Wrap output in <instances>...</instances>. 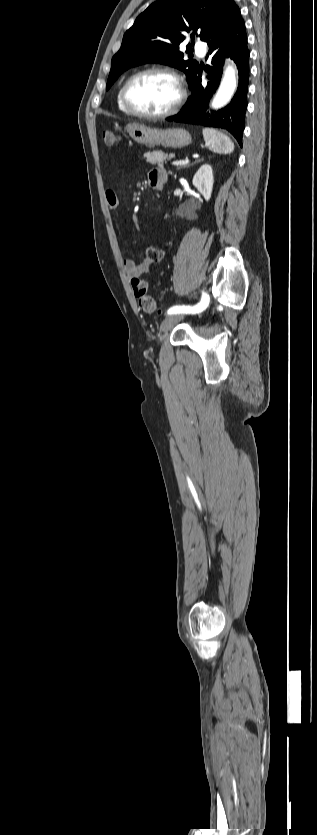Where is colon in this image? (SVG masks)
<instances>
[{"mask_svg": "<svg viewBox=\"0 0 317 835\" xmlns=\"http://www.w3.org/2000/svg\"><path fill=\"white\" fill-rule=\"evenodd\" d=\"M102 138L106 147L111 148L115 146L119 140L117 133L113 130H104ZM148 256L154 261H159L164 258L165 251L161 248L150 246L146 249ZM131 286L135 298L138 301L139 308L145 313H153L156 310V303L152 296L148 294V284L140 277L132 278Z\"/></svg>", "mask_w": 317, "mask_h": 835, "instance_id": "1", "label": "colon"}]
</instances>
